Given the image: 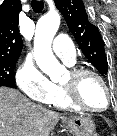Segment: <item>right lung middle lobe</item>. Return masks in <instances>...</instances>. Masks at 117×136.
Instances as JSON below:
<instances>
[{
  "label": "right lung middle lobe",
  "instance_id": "obj_1",
  "mask_svg": "<svg viewBox=\"0 0 117 136\" xmlns=\"http://www.w3.org/2000/svg\"><path fill=\"white\" fill-rule=\"evenodd\" d=\"M18 59H0V86L15 87L14 68Z\"/></svg>",
  "mask_w": 117,
  "mask_h": 136
}]
</instances>
